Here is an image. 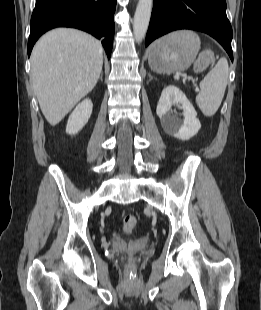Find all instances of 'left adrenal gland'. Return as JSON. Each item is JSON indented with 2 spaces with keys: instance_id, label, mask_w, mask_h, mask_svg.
Listing matches in <instances>:
<instances>
[{
  "instance_id": "1",
  "label": "left adrenal gland",
  "mask_w": 261,
  "mask_h": 310,
  "mask_svg": "<svg viewBox=\"0 0 261 310\" xmlns=\"http://www.w3.org/2000/svg\"><path fill=\"white\" fill-rule=\"evenodd\" d=\"M148 76H149V80L151 81L152 79H154V77L150 74V73H148Z\"/></svg>"
}]
</instances>
